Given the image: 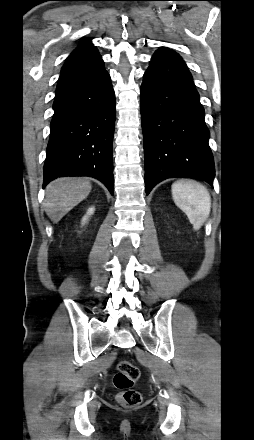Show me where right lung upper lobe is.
<instances>
[{
	"instance_id": "1",
	"label": "right lung upper lobe",
	"mask_w": 254,
	"mask_h": 440,
	"mask_svg": "<svg viewBox=\"0 0 254 440\" xmlns=\"http://www.w3.org/2000/svg\"><path fill=\"white\" fill-rule=\"evenodd\" d=\"M102 61L95 46L90 41L81 43L66 59L60 76L70 74Z\"/></svg>"
}]
</instances>
